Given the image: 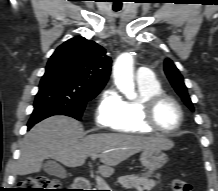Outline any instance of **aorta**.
Segmentation results:
<instances>
[{
    "instance_id": "1",
    "label": "aorta",
    "mask_w": 218,
    "mask_h": 191,
    "mask_svg": "<svg viewBox=\"0 0 218 191\" xmlns=\"http://www.w3.org/2000/svg\"><path fill=\"white\" fill-rule=\"evenodd\" d=\"M113 77L117 88L129 100L137 97L133 76V57L129 53L121 54L115 61Z\"/></svg>"
}]
</instances>
